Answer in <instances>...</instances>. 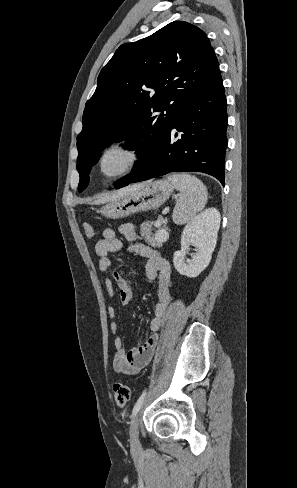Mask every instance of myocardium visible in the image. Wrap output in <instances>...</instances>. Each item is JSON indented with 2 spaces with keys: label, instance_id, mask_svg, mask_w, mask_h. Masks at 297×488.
I'll use <instances>...</instances> for the list:
<instances>
[{
  "label": "myocardium",
  "instance_id": "1",
  "mask_svg": "<svg viewBox=\"0 0 297 488\" xmlns=\"http://www.w3.org/2000/svg\"><path fill=\"white\" fill-rule=\"evenodd\" d=\"M116 149H125L131 153V159L128 165L120 172L107 175L103 169V161L108 153ZM145 159V148L143 144L135 139H121L106 146L100 153L98 159V168L100 174L107 180H116L135 171Z\"/></svg>",
  "mask_w": 297,
  "mask_h": 488
}]
</instances>
